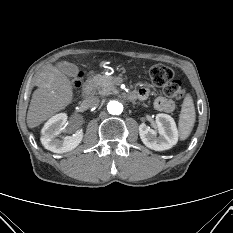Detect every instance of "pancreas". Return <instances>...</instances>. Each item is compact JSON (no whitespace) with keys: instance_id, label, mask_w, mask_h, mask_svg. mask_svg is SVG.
I'll return each mask as SVG.
<instances>
[{"instance_id":"pancreas-1","label":"pancreas","mask_w":233,"mask_h":233,"mask_svg":"<svg viewBox=\"0 0 233 233\" xmlns=\"http://www.w3.org/2000/svg\"><path fill=\"white\" fill-rule=\"evenodd\" d=\"M90 82L93 90L101 95H109L116 91L112 76L95 75Z\"/></svg>"}]
</instances>
